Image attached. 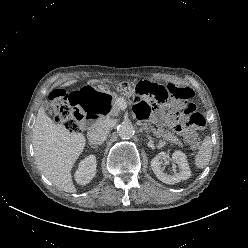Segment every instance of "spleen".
<instances>
[{
    "instance_id": "spleen-1",
    "label": "spleen",
    "mask_w": 248,
    "mask_h": 248,
    "mask_svg": "<svg viewBox=\"0 0 248 248\" xmlns=\"http://www.w3.org/2000/svg\"><path fill=\"white\" fill-rule=\"evenodd\" d=\"M212 156V141L209 136H206L199 147V150L194 158V163L197 168H205Z\"/></svg>"
}]
</instances>
